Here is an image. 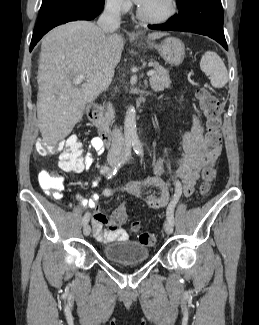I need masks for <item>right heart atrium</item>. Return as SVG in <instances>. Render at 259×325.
Instances as JSON below:
<instances>
[{
  "label": "right heart atrium",
  "mask_w": 259,
  "mask_h": 325,
  "mask_svg": "<svg viewBox=\"0 0 259 325\" xmlns=\"http://www.w3.org/2000/svg\"><path fill=\"white\" fill-rule=\"evenodd\" d=\"M106 7L114 12H126L130 8L129 0H105Z\"/></svg>",
  "instance_id": "right-heart-atrium-1"
}]
</instances>
